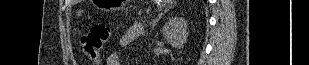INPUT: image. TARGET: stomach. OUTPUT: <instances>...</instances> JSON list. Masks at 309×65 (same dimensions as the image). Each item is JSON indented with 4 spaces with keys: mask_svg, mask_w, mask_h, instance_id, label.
<instances>
[{
    "mask_svg": "<svg viewBox=\"0 0 309 65\" xmlns=\"http://www.w3.org/2000/svg\"><path fill=\"white\" fill-rule=\"evenodd\" d=\"M95 2L101 11L114 12L123 9L127 0H99Z\"/></svg>",
    "mask_w": 309,
    "mask_h": 65,
    "instance_id": "obj_1",
    "label": "stomach"
}]
</instances>
